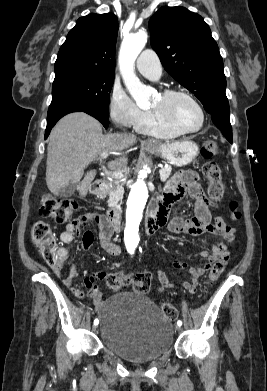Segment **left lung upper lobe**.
<instances>
[{
	"label": "left lung upper lobe",
	"instance_id": "obj_1",
	"mask_svg": "<svg viewBox=\"0 0 267 391\" xmlns=\"http://www.w3.org/2000/svg\"><path fill=\"white\" fill-rule=\"evenodd\" d=\"M151 46L165 70L209 114L229 111L223 60L209 26L184 7H163L149 21Z\"/></svg>",
	"mask_w": 267,
	"mask_h": 391
}]
</instances>
